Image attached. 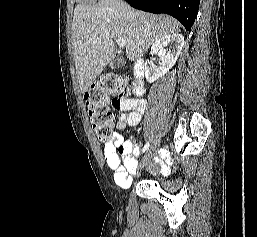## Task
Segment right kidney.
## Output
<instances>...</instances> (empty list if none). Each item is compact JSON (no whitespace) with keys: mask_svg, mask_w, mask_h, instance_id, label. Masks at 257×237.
I'll return each mask as SVG.
<instances>
[{"mask_svg":"<svg viewBox=\"0 0 257 237\" xmlns=\"http://www.w3.org/2000/svg\"><path fill=\"white\" fill-rule=\"evenodd\" d=\"M170 45L171 49H166ZM184 46V37L179 33L168 34L157 41L151 47V53L159 56L162 65L156 68L152 60L145 63V77L150 83H153L160 77H163L176 63Z\"/></svg>","mask_w":257,"mask_h":237,"instance_id":"1","label":"right kidney"}]
</instances>
